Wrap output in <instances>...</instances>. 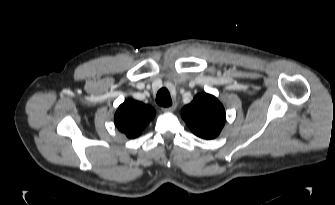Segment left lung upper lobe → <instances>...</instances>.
Masks as SVG:
<instances>
[{
    "instance_id": "1",
    "label": "left lung upper lobe",
    "mask_w": 335,
    "mask_h": 205,
    "mask_svg": "<svg viewBox=\"0 0 335 205\" xmlns=\"http://www.w3.org/2000/svg\"><path fill=\"white\" fill-rule=\"evenodd\" d=\"M181 115L192 132L203 139L216 138L225 123L223 105L207 93L196 95L190 104L183 107Z\"/></svg>"
}]
</instances>
